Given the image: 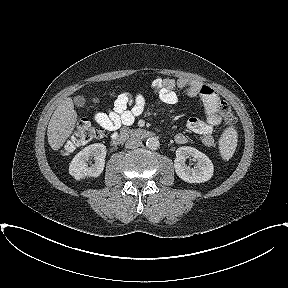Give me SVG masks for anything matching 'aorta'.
<instances>
[{
  "mask_svg": "<svg viewBox=\"0 0 288 288\" xmlns=\"http://www.w3.org/2000/svg\"><path fill=\"white\" fill-rule=\"evenodd\" d=\"M146 146H147V148H149L150 150H156V149L159 148L160 142H159L158 138H156V137H149V138L146 140Z\"/></svg>",
  "mask_w": 288,
  "mask_h": 288,
  "instance_id": "762f6f07",
  "label": "aorta"
}]
</instances>
